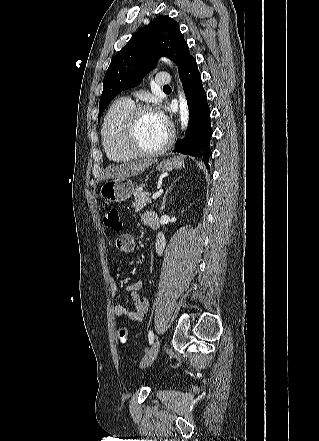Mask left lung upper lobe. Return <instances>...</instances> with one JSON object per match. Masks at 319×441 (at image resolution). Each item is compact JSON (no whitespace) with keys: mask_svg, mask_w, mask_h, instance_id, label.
I'll list each match as a JSON object with an SVG mask.
<instances>
[{"mask_svg":"<svg viewBox=\"0 0 319 441\" xmlns=\"http://www.w3.org/2000/svg\"><path fill=\"white\" fill-rule=\"evenodd\" d=\"M159 56L171 59L178 66V71L192 58L179 24L169 16H159L137 31L116 54L103 80L99 119L117 94L140 83Z\"/></svg>","mask_w":319,"mask_h":441,"instance_id":"left-lung-upper-lobe-1","label":"left lung upper lobe"}]
</instances>
